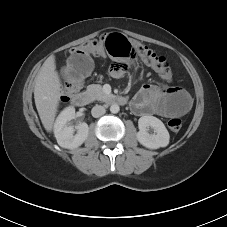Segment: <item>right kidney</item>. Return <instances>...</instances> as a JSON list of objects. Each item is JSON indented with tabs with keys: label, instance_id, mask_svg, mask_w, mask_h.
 <instances>
[{
	"label": "right kidney",
	"instance_id": "obj_1",
	"mask_svg": "<svg viewBox=\"0 0 227 227\" xmlns=\"http://www.w3.org/2000/svg\"><path fill=\"white\" fill-rule=\"evenodd\" d=\"M75 118V109L73 107L65 108L57 117L54 124V135L57 143L66 149H74L81 146L88 137L89 127L87 123H80L76 126L77 134H74V127L68 125Z\"/></svg>",
	"mask_w": 227,
	"mask_h": 227
}]
</instances>
